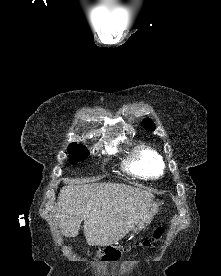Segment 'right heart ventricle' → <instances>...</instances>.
Segmentation results:
<instances>
[{"mask_svg": "<svg viewBox=\"0 0 221 276\" xmlns=\"http://www.w3.org/2000/svg\"><path fill=\"white\" fill-rule=\"evenodd\" d=\"M125 169L137 176L157 177L163 172L164 162L155 149L139 144L126 161Z\"/></svg>", "mask_w": 221, "mask_h": 276, "instance_id": "obj_1", "label": "right heart ventricle"}]
</instances>
